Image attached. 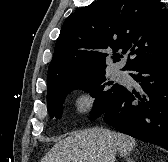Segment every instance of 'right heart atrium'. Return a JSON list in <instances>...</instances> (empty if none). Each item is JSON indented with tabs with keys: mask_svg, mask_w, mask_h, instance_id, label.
<instances>
[{
	"mask_svg": "<svg viewBox=\"0 0 168 162\" xmlns=\"http://www.w3.org/2000/svg\"><path fill=\"white\" fill-rule=\"evenodd\" d=\"M78 107L82 110L89 109L93 104V98L88 93H83L78 99Z\"/></svg>",
	"mask_w": 168,
	"mask_h": 162,
	"instance_id": "obj_1",
	"label": "right heart atrium"
}]
</instances>
